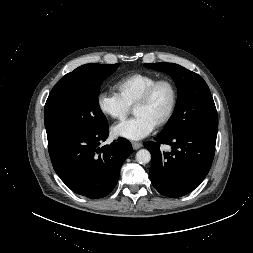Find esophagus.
<instances>
[{"instance_id":"34e87169","label":"esophagus","mask_w":253,"mask_h":253,"mask_svg":"<svg viewBox=\"0 0 253 253\" xmlns=\"http://www.w3.org/2000/svg\"><path fill=\"white\" fill-rule=\"evenodd\" d=\"M132 147L134 150H137L142 147V143L140 142H132Z\"/></svg>"}]
</instances>
